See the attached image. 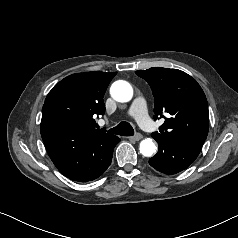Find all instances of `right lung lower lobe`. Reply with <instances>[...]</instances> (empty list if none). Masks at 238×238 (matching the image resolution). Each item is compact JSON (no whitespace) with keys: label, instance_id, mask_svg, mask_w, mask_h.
I'll list each match as a JSON object with an SVG mask.
<instances>
[{"label":"right lung lower lobe","instance_id":"1","mask_svg":"<svg viewBox=\"0 0 238 238\" xmlns=\"http://www.w3.org/2000/svg\"><path fill=\"white\" fill-rule=\"evenodd\" d=\"M119 141L120 139L117 138L109 145V147H107V149L103 150V152L101 153V159L94 169L90 170L85 174H81L77 177L70 179L74 181L87 182L94 180L100 175H102L104 171L109 167L112 160L113 149Z\"/></svg>","mask_w":238,"mask_h":238}]
</instances>
